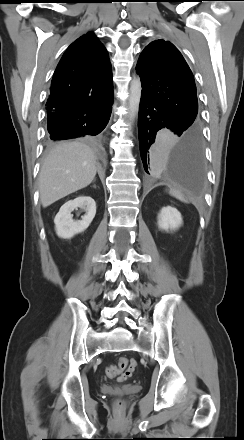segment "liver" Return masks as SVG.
Here are the masks:
<instances>
[{
	"instance_id": "liver-1",
	"label": "liver",
	"mask_w": 244,
	"mask_h": 440,
	"mask_svg": "<svg viewBox=\"0 0 244 440\" xmlns=\"http://www.w3.org/2000/svg\"><path fill=\"white\" fill-rule=\"evenodd\" d=\"M95 151L79 141H64L44 159L39 173L40 201L44 208L87 187L95 178Z\"/></svg>"
}]
</instances>
